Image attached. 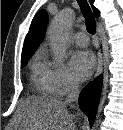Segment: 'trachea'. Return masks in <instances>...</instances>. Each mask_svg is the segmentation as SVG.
Masks as SVG:
<instances>
[{
	"label": "trachea",
	"mask_w": 123,
	"mask_h": 130,
	"mask_svg": "<svg viewBox=\"0 0 123 130\" xmlns=\"http://www.w3.org/2000/svg\"><path fill=\"white\" fill-rule=\"evenodd\" d=\"M77 2L85 17L87 31L90 34H95V32H96L95 19L93 17L92 11L90 9V6H89L87 0H77Z\"/></svg>",
	"instance_id": "3493384b"
}]
</instances>
